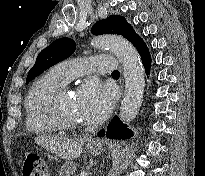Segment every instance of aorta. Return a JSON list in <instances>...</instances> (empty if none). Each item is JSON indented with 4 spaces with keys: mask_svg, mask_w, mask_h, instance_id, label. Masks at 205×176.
Returning <instances> with one entry per match:
<instances>
[{
    "mask_svg": "<svg viewBox=\"0 0 205 176\" xmlns=\"http://www.w3.org/2000/svg\"><path fill=\"white\" fill-rule=\"evenodd\" d=\"M91 43L96 48L109 49L123 66L125 90L120 107V118L124 123H129L136 117L144 94V68L139 54L128 40L118 35L98 36Z\"/></svg>",
    "mask_w": 205,
    "mask_h": 176,
    "instance_id": "obj_1",
    "label": "aorta"
}]
</instances>
